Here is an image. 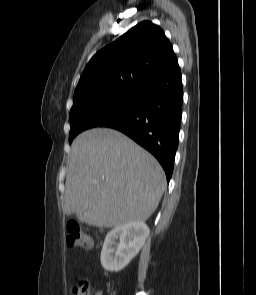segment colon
<instances>
[{
  "instance_id": "5ec220e1",
  "label": "colon",
  "mask_w": 256,
  "mask_h": 295,
  "mask_svg": "<svg viewBox=\"0 0 256 295\" xmlns=\"http://www.w3.org/2000/svg\"><path fill=\"white\" fill-rule=\"evenodd\" d=\"M67 245L70 248L90 249L93 247V241L87 231L82 229L76 222L67 224ZM73 295H89V283L85 279H80L73 289Z\"/></svg>"
}]
</instances>
